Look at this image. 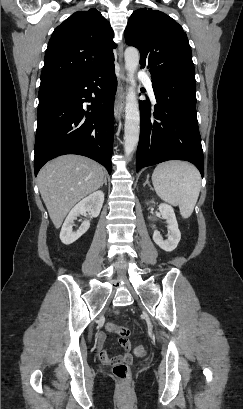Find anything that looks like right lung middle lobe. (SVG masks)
<instances>
[{
    "mask_svg": "<svg viewBox=\"0 0 243 409\" xmlns=\"http://www.w3.org/2000/svg\"><path fill=\"white\" fill-rule=\"evenodd\" d=\"M67 80H63V79H46V80H41V84H40V88H44L47 86H51L54 84H59V83H63L66 82ZM39 88V89H40Z\"/></svg>",
    "mask_w": 243,
    "mask_h": 409,
    "instance_id": "1",
    "label": "right lung middle lobe"
}]
</instances>
